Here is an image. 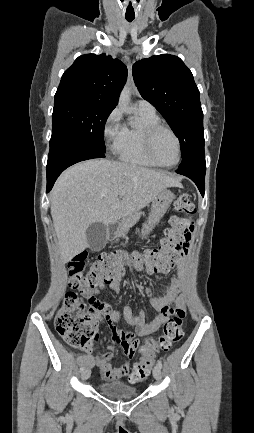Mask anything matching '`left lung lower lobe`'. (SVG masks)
Segmentation results:
<instances>
[{"instance_id": "0a47b994", "label": "left lung lower lobe", "mask_w": 254, "mask_h": 433, "mask_svg": "<svg viewBox=\"0 0 254 433\" xmlns=\"http://www.w3.org/2000/svg\"><path fill=\"white\" fill-rule=\"evenodd\" d=\"M205 172L206 169H200L197 167H186L176 170V173L189 177L197 185L203 197L205 192Z\"/></svg>"}]
</instances>
